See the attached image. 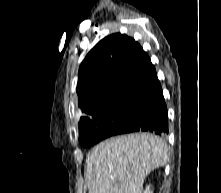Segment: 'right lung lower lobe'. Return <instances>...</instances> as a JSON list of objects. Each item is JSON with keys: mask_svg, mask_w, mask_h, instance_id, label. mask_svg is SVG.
Instances as JSON below:
<instances>
[{"mask_svg": "<svg viewBox=\"0 0 221 193\" xmlns=\"http://www.w3.org/2000/svg\"><path fill=\"white\" fill-rule=\"evenodd\" d=\"M148 106V110L141 118L117 135L138 131H148L160 136L168 134L167 108L160 84L148 100Z\"/></svg>", "mask_w": 221, "mask_h": 193, "instance_id": "obj_1", "label": "right lung lower lobe"}]
</instances>
